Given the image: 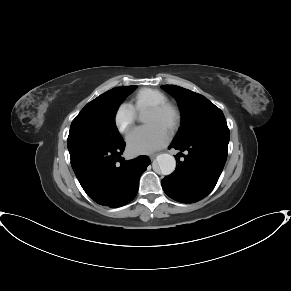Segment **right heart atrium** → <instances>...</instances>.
<instances>
[{
    "label": "right heart atrium",
    "mask_w": 291,
    "mask_h": 291,
    "mask_svg": "<svg viewBox=\"0 0 291 291\" xmlns=\"http://www.w3.org/2000/svg\"><path fill=\"white\" fill-rule=\"evenodd\" d=\"M115 125L121 133H127L136 120L135 109L127 103H122L115 113Z\"/></svg>",
    "instance_id": "right-heart-atrium-1"
}]
</instances>
